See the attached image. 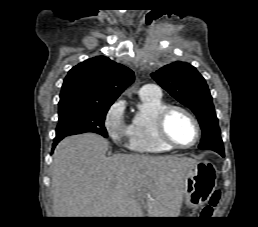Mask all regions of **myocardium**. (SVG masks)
Wrapping results in <instances>:
<instances>
[{
    "instance_id": "myocardium-1",
    "label": "myocardium",
    "mask_w": 258,
    "mask_h": 227,
    "mask_svg": "<svg viewBox=\"0 0 258 227\" xmlns=\"http://www.w3.org/2000/svg\"><path fill=\"white\" fill-rule=\"evenodd\" d=\"M175 111L181 112L184 115H186L194 125L196 135H195V139L193 140V142L190 143L189 145H181V144L176 143L171 138V136L169 135V133L167 131V120H168L169 116ZM156 131H157V135H158V138L160 139V141H162L163 143L167 144L168 146H170L172 148H177V149L192 148L193 146H195L198 143L200 136H201L200 124H199L198 120L196 119V117L189 110H187L181 106H177V105H168L158 113V115L156 117Z\"/></svg>"
}]
</instances>
